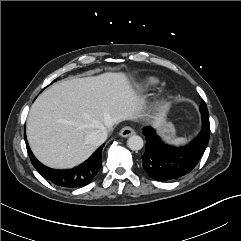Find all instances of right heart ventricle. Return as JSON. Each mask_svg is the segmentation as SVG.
<instances>
[{"mask_svg": "<svg viewBox=\"0 0 241 241\" xmlns=\"http://www.w3.org/2000/svg\"><path fill=\"white\" fill-rule=\"evenodd\" d=\"M158 84V80L154 77L146 76L141 78L137 83L139 91H147L154 88Z\"/></svg>", "mask_w": 241, "mask_h": 241, "instance_id": "right-heart-ventricle-1", "label": "right heart ventricle"}]
</instances>
